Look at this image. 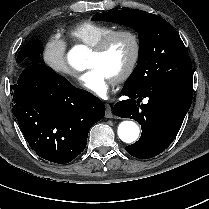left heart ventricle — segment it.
<instances>
[{
	"label": "left heart ventricle",
	"mask_w": 209,
	"mask_h": 209,
	"mask_svg": "<svg viewBox=\"0 0 209 209\" xmlns=\"http://www.w3.org/2000/svg\"><path fill=\"white\" fill-rule=\"evenodd\" d=\"M132 51L131 40L124 36L118 37L104 55L98 56L91 52L88 67H98L116 79L129 62Z\"/></svg>",
	"instance_id": "b2bd125f"
}]
</instances>
